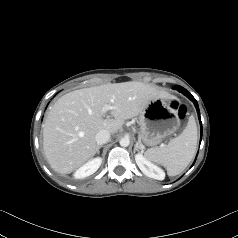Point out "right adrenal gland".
<instances>
[{"mask_svg": "<svg viewBox=\"0 0 238 238\" xmlns=\"http://www.w3.org/2000/svg\"><path fill=\"white\" fill-rule=\"evenodd\" d=\"M102 147V145L97 147L96 153L99 154V149Z\"/></svg>", "mask_w": 238, "mask_h": 238, "instance_id": "right-adrenal-gland-1", "label": "right adrenal gland"}]
</instances>
